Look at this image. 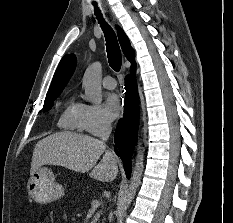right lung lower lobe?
<instances>
[{"instance_id": "1", "label": "right lung lower lobe", "mask_w": 233, "mask_h": 223, "mask_svg": "<svg viewBox=\"0 0 233 223\" xmlns=\"http://www.w3.org/2000/svg\"><path fill=\"white\" fill-rule=\"evenodd\" d=\"M134 68H131V75L126 76L125 79L127 92L124 105V118L119 120L114 135L115 151L123 160L127 178L130 177L131 173L130 156L137 141L139 122L138 93Z\"/></svg>"}]
</instances>
